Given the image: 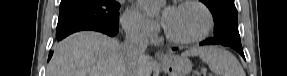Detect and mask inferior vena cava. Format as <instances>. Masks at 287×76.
Here are the masks:
<instances>
[{"mask_svg":"<svg viewBox=\"0 0 287 76\" xmlns=\"http://www.w3.org/2000/svg\"><path fill=\"white\" fill-rule=\"evenodd\" d=\"M125 40L122 44V54L128 66L127 76H134L132 69L146 57L148 38L145 27L139 21H131L124 25Z\"/></svg>","mask_w":287,"mask_h":76,"instance_id":"obj_1","label":"inferior vena cava"}]
</instances>
